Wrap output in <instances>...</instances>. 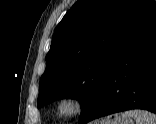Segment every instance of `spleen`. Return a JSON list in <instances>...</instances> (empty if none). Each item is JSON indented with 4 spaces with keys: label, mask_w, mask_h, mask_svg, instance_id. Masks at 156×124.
<instances>
[{
    "label": "spleen",
    "mask_w": 156,
    "mask_h": 124,
    "mask_svg": "<svg viewBox=\"0 0 156 124\" xmlns=\"http://www.w3.org/2000/svg\"><path fill=\"white\" fill-rule=\"evenodd\" d=\"M126 117L134 118L136 124H156V115L144 110H130L124 113Z\"/></svg>",
    "instance_id": "1"
}]
</instances>
